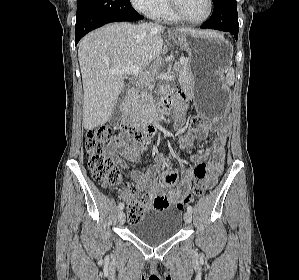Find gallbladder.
I'll list each match as a JSON object with an SVG mask.
<instances>
[{
	"label": "gallbladder",
	"instance_id": "bac80fb5",
	"mask_svg": "<svg viewBox=\"0 0 299 280\" xmlns=\"http://www.w3.org/2000/svg\"><path fill=\"white\" fill-rule=\"evenodd\" d=\"M124 98H125V91H122L120 93V95L118 96L116 102H115L114 112H113V115H112V118L114 120H117L120 117V111H119V109H120L121 104L124 101Z\"/></svg>",
	"mask_w": 299,
	"mask_h": 280
}]
</instances>
